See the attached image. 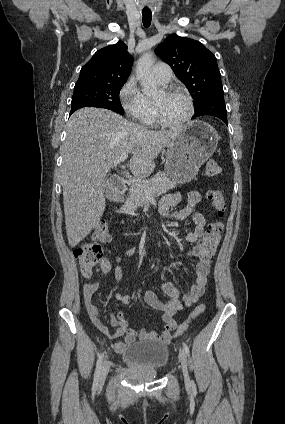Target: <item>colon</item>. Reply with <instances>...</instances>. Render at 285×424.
<instances>
[{"mask_svg":"<svg viewBox=\"0 0 285 424\" xmlns=\"http://www.w3.org/2000/svg\"><path fill=\"white\" fill-rule=\"evenodd\" d=\"M221 166L215 159L207 161L205 166V175L209 178L219 175ZM211 206L215 209L218 218L224 216L226 210V197L221 190H210L207 193ZM223 233V223L218 220L209 225L205 237L196 247V254L204 259H212L217 251ZM92 242H87L74 250V256L80 264L81 272L89 278L93 269L103 261L104 250L101 243H108L111 240L110 229L106 222H99L92 233ZM205 310V305H198L191 313L188 321L181 324L177 332L183 333L189 326L191 320L200 316Z\"/></svg>","mask_w":285,"mask_h":424,"instance_id":"obj_1","label":"colon"}]
</instances>
